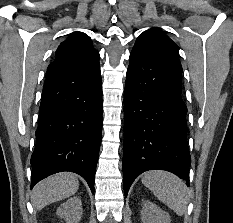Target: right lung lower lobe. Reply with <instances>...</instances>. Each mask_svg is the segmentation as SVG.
Segmentation results:
<instances>
[{
  "label": "right lung lower lobe",
  "instance_id": "obj_1",
  "mask_svg": "<svg viewBox=\"0 0 233 223\" xmlns=\"http://www.w3.org/2000/svg\"><path fill=\"white\" fill-rule=\"evenodd\" d=\"M102 130L99 63L46 77L31 157L33 186L62 171L81 175L94 193Z\"/></svg>",
  "mask_w": 233,
  "mask_h": 223
}]
</instances>
